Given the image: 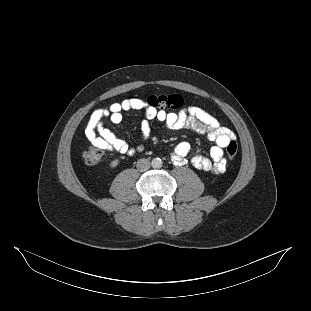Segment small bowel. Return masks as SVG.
<instances>
[{"label":"small bowel","mask_w":311,"mask_h":311,"mask_svg":"<svg viewBox=\"0 0 311 311\" xmlns=\"http://www.w3.org/2000/svg\"><path fill=\"white\" fill-rule=\"evenodd\" d=\"M130 110L144 112L145 119L142 122L141 131L146 139L151 135L150 121L154 119L163 122L166 129L170 131L188 128L206 135L214 142V146L210 149V157L194 154L190 159L191 164L197 169L215 174L225 172L227 161L224 157V148L235 139V135L230 129L223 127L215 117L197 106H190L179 113H166L150 107L141 99H126L113 103L108 108L95 110L90 115L85 129L87 139L94 147L103 150L133 154L136 151L134 148L103 125L105 117H108L112 124L119 125L123 120V113ZM189 153L190 144L181 142L175 147L172 160L177 164H184Z\"/></svg>","instance_id":"obj_1"}]
</instances>
